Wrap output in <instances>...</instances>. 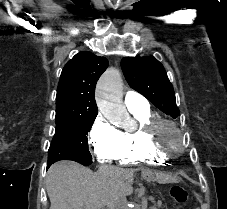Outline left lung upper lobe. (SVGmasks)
Instances as JSON below:
<instances>
[{"mask_svg":"<svg viewBox=\"0 0 227 209\" xmlns=\"http://www.w3.org/2000/svg\"><path fill=\"white\" fill-rule=\"evenodd\" d=\"M121 68L128 84L173 118L180 115L175 93L163 65L154 57H125Z\"/></svg>","mask_w":227,"mask_h":209,"instance_id":"left-lung-upper-lobe-1","label":"left lung upper lobe"}]
</instances>
